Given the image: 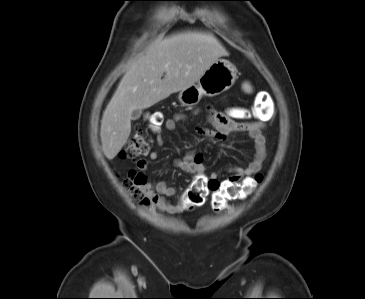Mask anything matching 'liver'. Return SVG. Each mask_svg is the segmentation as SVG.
Returning <instances> with one entry per match:
<instances>
[{
	"mask_svg": "<svg viewBox=\"0 0 365 299\" xmlns=\"http://www.w3.org/2000/svg\"><path fill=\"white\" fill-rule=\"evenodd\" d=\"M227 55L210 32L184 31L150 45L127 70L103 113L104 155L112 160L127 142L134 110L149 108L194 85L216 60Z\"/></svg>",
	"mask_w": 365,
	"mask_h": 299,
	"instance_id": "6515ba94",
	"label": "liver"
}]
</instances>
